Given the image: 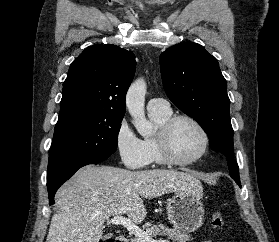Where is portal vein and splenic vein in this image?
<instances>
[{"mask_svg": "<svg viewBox=\"0 0 279 242\" xmlns=\"http://www.w3.org/2000/svg\"><path fill=\"white\" fill-rule=\"evenodd\" d=\"M108 224L122 225L130 233L134 234L135 237L139 238L141 242H166L154 240L148 233L142 230L140 227L135 225L131 219L125 218L123 216H114L112 219L108 220Z\"/></svg>", "mask_w": 279, "mask_h": 242, "instance_id": "18ae733b", "label": "portal vein and splenic vein"}]
</instances>
